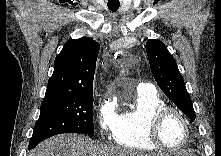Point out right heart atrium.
<instances>
[{
  "instance_id": "1",
  "label": "right heart atrium",
  "mask_w": 221,
  "mask_h": 156,
  "mask_svg": "<svg viewBox=\"0 0 221 156\" xmlns=\"http://www.w3.org/2000/svg\"><path fill=\"white\" fill-rule=\"evenodd\" d=\"M116 101L109 95H105L97 108L96 119L100 134L108 137L114 134L116 122Z\"/></svg>"
}]
</instances>
